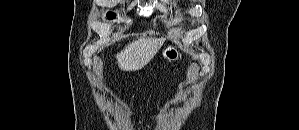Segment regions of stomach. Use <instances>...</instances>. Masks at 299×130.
Returning a JSON list of instances; mask_svg holds the SVG:
<instances>
[{
	"label": "stomach",
	"mask_w": 299,
	"mask_h": 130,
	"mask_svg": "<svg viewBox=\"0 0 299 130\" xmlns=\"http://www.w3.org/2000/svg\"><path fill=\"white\" fill-rule=\"evenodd\" d=\"M161 57L169 62L177 61L181 58V53L174 45H168L161 50Z\"/></svg>",
	"instance_id": "stomach-1"
}]
</instances>
